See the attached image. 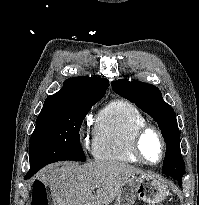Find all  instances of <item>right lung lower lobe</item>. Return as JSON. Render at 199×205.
I'll return each instance as SVG.
<instances>
[{
    "label": "right lung lower lobe",
    "mask_w": 199,
    "mask_h": 205,
    "mask_svg": "<svg viewBox=\"0 0 199 205\" xmlns=\"http://www.w3.org/2000/svg\"><path fill=\"white\" fill-rule=\"evenodd\" d=\"M30 177H32V176H31V175H30V176H27V175H26V176H25V179H29Z\"/></svg>",
    "instance_id": "obj_1"
}]
</instances>
